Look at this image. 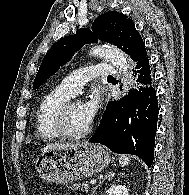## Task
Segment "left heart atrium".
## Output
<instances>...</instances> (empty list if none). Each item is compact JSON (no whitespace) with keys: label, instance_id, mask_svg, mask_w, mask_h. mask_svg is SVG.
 I'll list each match as a JSON object with an SVG mask.
<instances>
[{"label":"left heart atrium","instance_id":"1","mask_svg":"<svg viewBox=\"0 0 189 195\" xmlns=\"http://www.w3.org/2000/svg\"><path fill=\"white\" fill-rule=\"evenodd\" d=\"M82 107L87 119L91 122L96 116L100 107L99 97L96 94H93L88 101L82 104Z\"/></svg>","mask_w":189,"mask_h":195}]
</instances>
